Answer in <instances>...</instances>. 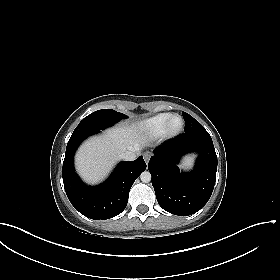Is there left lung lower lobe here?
I'll use <instances>...</instances> for the list:
<instances>
[{
  "mask_svg": "<svg viewBox=\"0 0 280 280\" xmlns=\"http://www.w3.org/2000/svg\"><path fill=\"white\" fill-rule=\"evenodd\" d=\"M199 154L191 172L177 167L183 155ZM159 205L169 213L188 216L209 200L215 185L217 155L208 132L184 133L154 149L148 163Z\"/></svg>",
  "mask_w": 280,
  "mask_h": 280,
  "instance_id": "1",
  "label": "left lung lower lobe"
}]
</instances>
